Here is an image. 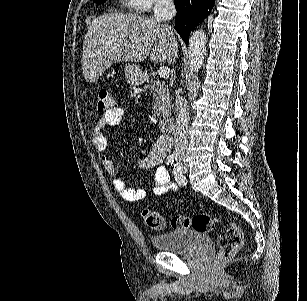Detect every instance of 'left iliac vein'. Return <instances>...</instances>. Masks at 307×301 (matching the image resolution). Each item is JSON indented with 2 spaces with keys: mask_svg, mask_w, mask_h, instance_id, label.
Instances as JSON below:
<instances>
[{
  "mask_svg": "<svg viewBox=\"0 0 307 301\" xmlns=\"http://www.w3.org/2000/svg\"><path fill=\"white\" fill-rule=\"evenodd\" d=\"M181 171H183V173L187 172V164H183V166L181 167Z\"/></svg>",
  "mask_w": 307,
  "mask_h": 301,
  "instance_id": "left-iliac-vein-1",
  "label": "left iliac vein"
}]
</instances>
